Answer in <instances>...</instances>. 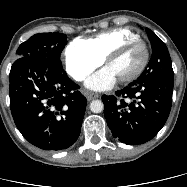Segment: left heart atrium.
Segmentation results:
<instances>
[{
  "label": "left heart atrium",
  "mask_w": 187,
  "mask_h": 187,
  "mask_svg": "<svg viewBox=\"0 0 187 187\" xmlns=\"http://www.w3.org/2000/svg\"><path fill=\"white\" fill-rule=\"evenodd\" d=\"M117 80L115 74L106 66L93 74L86 81V86L92 90H106L112 87Z\"/></svg>",
  "instance_id": "39dd6f15"
}]
</instances>
